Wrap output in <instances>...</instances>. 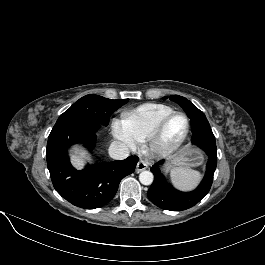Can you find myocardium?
Instances as JSON below:
<instances>
[{
	"mask_svg": "<svg viewBox=\"0 0 265 265\" xmlns=\"http://www.w3.org/2000/svg\"><path fill=\"white\" fill-rule=\"evenodd\" d=\"M175 115L182 116L186 121V128L182 136L175 142L170 144H164L161 142V136L163 131L168 123V121ZM190 131V119L189 117L181 111L173 110L166 115H164L154 126L151 132L144 139L146 146L148 149L158 155H168L172 152L176 151L181 147V145L185 142Z\"/></svg>",
	"mask_w": 265,
	"mask_h": 265,
	"instance_id": "myocardium-1",
	"label": "myocardium"
}]
</instances>
